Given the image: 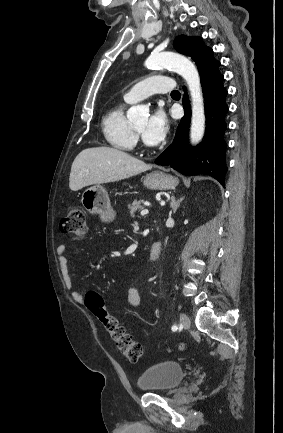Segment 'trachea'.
<instances>
[{
  "mask_svg": "<svg viewBox=\"0 0 283 433\" xmlns=\"http://www.w3.org/2000/svg\"><path fill=\"white\" fill-rule=\"evenodd\" d=\"M171 95H180V92L178 90H173L171 92Z\"/></svg>",
  "mask_w": 283,
  "mask_h": 433,
  "instance_id": "3493384b",
  "label": "trachea"
}]
</instances>
